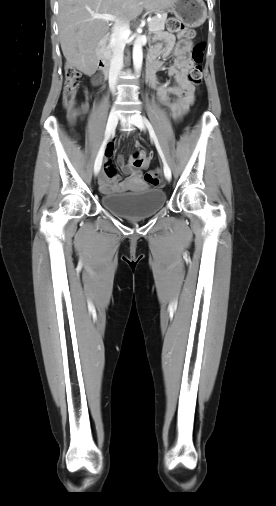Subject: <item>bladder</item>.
<instances>
[{
    "label": "bladder",
    "mask_w": 276,
    "mask_h": 506,
    "mask_svg": "<svg viewBox=\"0 0 276 506\" xmlns=\"http://www.w3.org/2000/svg\"><path fill=\"white\" fill-rule=\"evenodd\" d=\"M165 201L166 193L158 188L108 193L101 196V203L106 209L127 218L150 216L160 210Z\"/></svg>",
    "instance_id": "31cf9c89"
}]
</instances>
